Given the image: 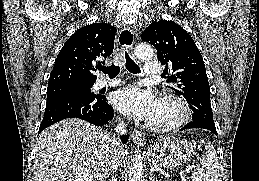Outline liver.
<instances>
[{
  "label": "liver",
  "mask_w": 259,
  "mask_h": 181,
  "mask_svg": "<svg viewBox=\"0 0 259 181\" xmlns=\"http://www.w3.org/2000/svg\"><path fill=\"white\" fill-rule=\"evenodd\" d=\"M105 130L80 119H65L44 131L36 146V181H106L112 154L127 153Z\"/></svg>",
  "instance_id": "6515ba94"
}]
</instances>
